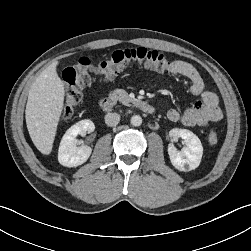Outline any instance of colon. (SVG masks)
I'll list each match as a JSON object with an SVG mask.
<instances>
[{"mask_svg": "<svg viewBox=\"0 0 251 251\" xmlns=\"http://www.w3.org/2000/svg\"><path fill=\"white\" fill-rule=\"evenodd\" d=\"M130 65H140L154 71L165 72L171 70L173 62L161 52L142 47L116 50L106 60L97 64L86 57L80 58L77 64L63 71L62 119H67L72 115L82 99L84 88L98 79H111ZM208 140L211 145L217 144V132H210Z\"/></svg>", "mask_w": 251, "mask_h": 251, "instance_id": "obj_1", "label": "colon"}]
</instances>
